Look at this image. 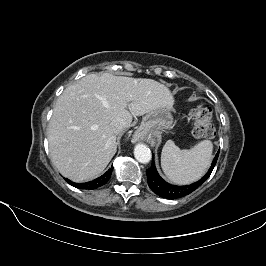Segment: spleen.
<instances>
[{
  "mask_svg": "<svg viewBox=\"0 0 266 266\" xmlns=\"http://www.w3.org/2000/svg\"><path fill=\"white\" fill-rule=\"evenodd\" d=\"M213 144L203 140L191 149H180L168 140L162 150L161 166L166 176L178 184L192 183L201 178L212 159Z\"/></svg>",
  "mask_w": 266,
  "mask_h": 266,
  "instance_id": "spleen-1",
  "label": "spleen"
}]
</instances>
